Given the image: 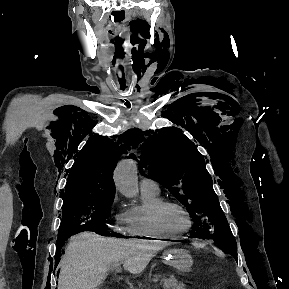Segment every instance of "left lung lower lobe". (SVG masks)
Masks as SVG:
<instances>
[{
    "mask_svg": "<svg viewBox=\"0 0 289 289\" xmlns=\"http://www.w3.org/2000/svg\"><path fill=\"white\" fill-rule=\"evenodd\" d=\"M204 236V235H203ZM200 238H203V239H208V238H206V237H200Z\"/></svg>",
    "mask_w": 289,
    "mask_h": 289,
    "instance_id": "1",
    "label": "left lung lower lobe"
}]
</instances>
